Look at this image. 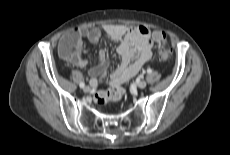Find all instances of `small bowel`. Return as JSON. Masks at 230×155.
<instances>
[{"mask_svg": "<svg viewBox=\"0 0 230 155\" xmlns=\"http://www.w3.org/2000/svg\"><path fill=\"white\" fill-rule=\"evenodd\" d=\"M103 29L111 40L119 43L117 51L121 56V63L111 73L107 82L110 87H114L132 78L144 64L152 59L156 31L151 33L144 26L127 27L122 24L106 25ZM68 34H75L79 38L77 51L71 61L74 65L83 67L87 64V60L81 56L82 38L87 39L91 44H97L101 37V31L98 28H75ZM107 68L106 54L104 51H100L98 63L89 70V74L92 76L90 85L93 89L101 84L106 76Z\"/></svg>", "mask_w": 230, "mask_h": 155, "instance_id": "1", "label": "small bowel"}]
</instances>
